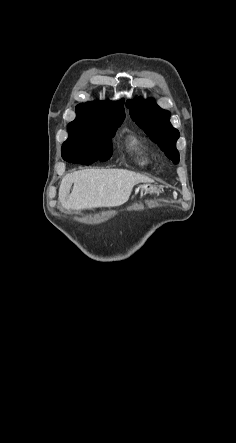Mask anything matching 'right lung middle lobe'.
Returning a JSON list of instances; mask_svg holds the SVG:
<instances>
[{"label": "right lung middle lobe", "mask_w": 236, "mask_h": 443, "mask_svg": "<svg viewBox=\"0 0 236 443\" xmlns=\"http://www.w3.org/2000/svg\"><path fill=\"white\" fill-rule=\"evenodd\" d=\"M123 120L101 117H76L68 124V139L62 148L96 146L113 149L112 137Z\"/></svg>", "instance_id": "1"}]
</instances>
